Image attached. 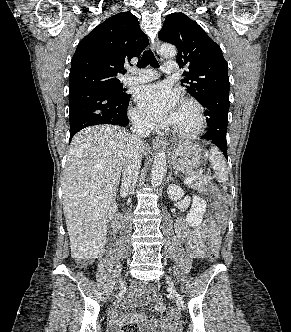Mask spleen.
Wrapping results in <instances>:
<instances>
[{
	"label": "spleen",
	"instance_id": "obj_1",
	"mask_svg": "<svg viewBox=\"0 0 291 332\" xmlns=\"http://www.w3.org/2000/svg\"><path fill=\"white\" fill-rule=\"evenodd\" d=\"M209 162L215 172L218 182H226L228 180V171L225 160L216 147L210 149Z\"/></svg>",
	"mask_w": 291,
	"mask_h": 332
}]
</instances>
